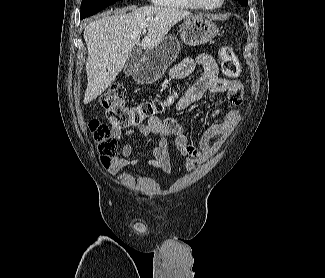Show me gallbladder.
I'll return each instance as SVG.
<instances>
[{
	"mask_svg": "<svg viewBox=\"0 0 325 278\" xmlns=\"http://www.w3.org/2000/svg\"><path fill=\"white\" fill-rule=\"evenodd\" d=\"M142 54V48L139 46H135L126 61L124 72L127 75H134V71L136 69V65L139 61V58Z\"/></svg>",
	"mask_w": 325,
	"mask_h": 278,
	"instance_id": "1",
	"label": "gallbladder"
}]
</instances>
